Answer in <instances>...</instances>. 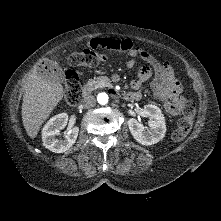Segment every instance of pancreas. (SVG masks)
I'll list each match as a JSON object with an SVG mask.
<instances>
[{"label":"pancreas","mask_w":221,"mask_h":221,"mask_svg":"<svg viewBox=\"0 0 221 221\" xmlns=\"http://www.w3.org/2000/svg\"><path fill=\"white\" fill-rule=\"evenodd\" d=\"M111 81L108 77L106 76H100L95 79H90L87 84L86 88H89L91 91L96 90L98 88H104V87H110Z\"/></svg>","instance_id":"obj_1"}]
</instances>
